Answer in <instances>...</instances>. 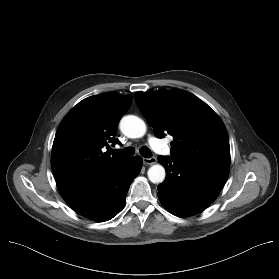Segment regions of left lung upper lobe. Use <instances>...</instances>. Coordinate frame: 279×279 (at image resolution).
Wrapping results in <instances>:
<instances>
[{
    "label": "left lung upper lobe",
    "instance_id": "obj_1",
    "mask_svg": "<svg viewBox=\"0 0 279 279\" xmlns=\"http://www.w3.org/2000/svg\"><path fill=\"white\" fill-rule=\"evenodd\" d=\"M134 99L158 138L173 136L171 156L229 168L230 146L220 117L195 95L179 89L136 92Z\"/></svg>",
    "mask_w": 279,
    "mask_h": 279
}]
</instances>
